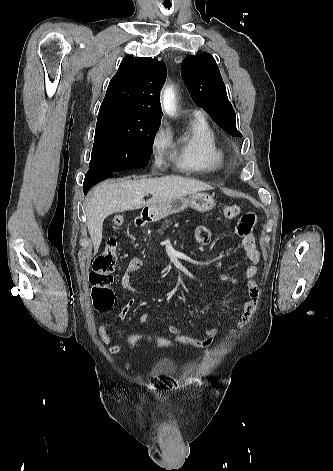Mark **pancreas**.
<instances>
[{
    "label": "pancreas",
    "mask_w": 333,
    "mask_h": 471,
    "mask_svg": "<svg viewBox=\"0 0 333 471\" xmlns=\"http://www.w3.org/2000/svg\"><path fill=\"white\" fill-rule=\"evenodd\" d=\"M169 225H170V221L166 219V220L164 221V224L162 225V227H161L157 232L162 235V234H163V230H164V229H167Z\"/></svg>",
    "instance_id": "obj_1"
}]
</instances>
